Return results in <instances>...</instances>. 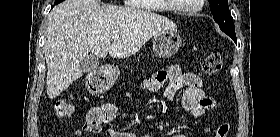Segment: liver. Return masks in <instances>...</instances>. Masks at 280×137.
<instances>
[{
    "label": "liver",
    "instance_id": "obj_1",
    "mask_svg": "<svg viewBox=\"0 0 280 137\" xmlns=\"http://www.w3.org/2000/svg\"><path fill=\"white\" fill-rule=\"evenodd\" d=\"M166 30L175 32L177 26L155 13L103 5L98 0H65L48 15L44 44L48 97L59 96L82 76L79 62L89 53L127 58ZM116 34L119 39L113 40Z\"/></svg>",
    "mask_w": 280,
    "mask_h": 137
}]
</instances>
